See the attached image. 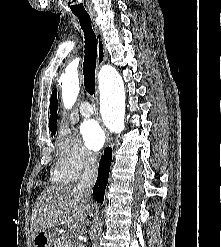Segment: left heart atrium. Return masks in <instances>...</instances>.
<instances>
[{
  "mask_svg": "<svg viewBox=\"0 0 221 247\" xmlns=\"http://www.w3.org/2000/svg\"><path fill=\"white\" fill-rule=\"evenodd\" d=\"M80 133L89 149L97 151L104 145L105 134L96 120L89 119L84 121L80 126Z\"/></svg>",
  "mask_w": 221,
  "mask_h": 247,
  "instance_id": "left-heart-atrium-1",
  "label": "left heart atrium"
}]
</instances>
